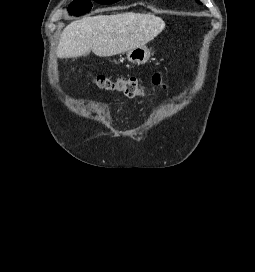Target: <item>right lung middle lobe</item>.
<instances>
[{
	"label": "right lung middle lobe",
	"mask_w": 255,
	"mask_h": 272,
	"mask_svg": "<svg viewBox=\"0 0 255 272\" xmlns=\"http://www.w3.org/2000/svg\"><path fill=\"white\" fill-rule=\"evenodd\" d=\"M100 4H110L118 0H94ZM92 8V3L90 0H75L68 8V10L75 16H80L81 14L89 11Z\"/></svg>",
	"instance_id": "dd1d6c3e"
}]
</instances>
